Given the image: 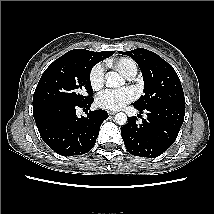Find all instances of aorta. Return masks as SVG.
Wrapping results in <instances>:
<instances>
[{"label":"aorta","mask_w":214,"mask_h":214,"mask_svg":"<svg viewBox=\"0 0 214 214\" xmlns=\"http://www.w3.org/2000/svg\"><path fill=\"white\" fill-rule=\"evenodd\" d=\"M124 79L116 72H110L107 75L106 86L110 88H117L124 85ZM115 122L119 125H125L127 123V115L123 112L115 115Z\"/></svg>","instance_id":"aorta-1"}]
</instances>
